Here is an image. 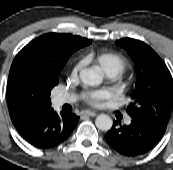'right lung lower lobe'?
<instances>
[{"label": "right lung lower lobe", "instance_id": "obj_1", "mask_svg": "<svg viewBox=\"0 0 173 170\" xmlns=\"http://www.w3.org/2000/svg\"><path fill=\"white\" fill-rule=\"evenodd\" d=\"M13 125L28 143L46 149L66 140L78 124L75 114L58 115L52 108L21 114L11 119Z\"/></svg>", "mask_w": 173, "mask_h": 170}]
</instances>
